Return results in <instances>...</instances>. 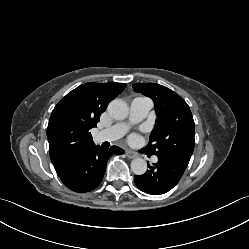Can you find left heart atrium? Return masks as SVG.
<instances>
[{"label":"left heart atrium","mask_w":249,"mask_h":249,"mask_svg":"<svg viewBox=\"0 0 249 249\" xmlns=\"http://www.w3.org/2000/svg\"><path fill=\"white\" fill-rule=\"evenodd\" d=\"M131 139H132V140H135V139H136V136H135V135H133V136L131 137Z\"/></svg>","instance_id":"39dd6f15"}]
</instances>
